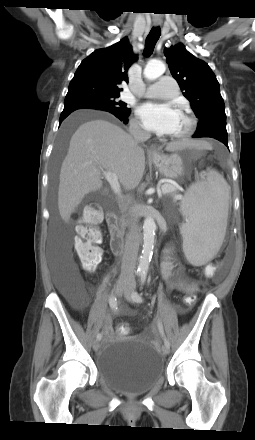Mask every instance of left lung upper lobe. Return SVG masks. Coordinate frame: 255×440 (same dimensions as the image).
Instances as JSON below:
<instances>
[{
  "mask_svg": "<svg viewBox=\"0 0 255 440\" xmlns=\"http://www.w3.org/2000/svg\"><path fill=\"white\" fill-rule=\"evenodd\" d=\"M164 54L172 76L199 119L195 133L227 134L224 101L216 76L208 64L189 53L183 44L166 48Z\"/></svg>",
  "mask_w": 255,
  "mask_h": 440,
  "instance_id": "1",
  "label": "left lung upper lobe"
}]
</instances>
